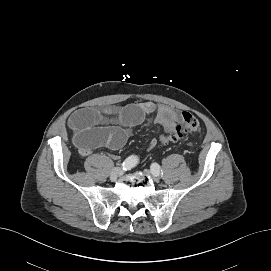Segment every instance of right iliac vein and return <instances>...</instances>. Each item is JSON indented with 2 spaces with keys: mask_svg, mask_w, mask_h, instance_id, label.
<instances>
[{
  "mask_svg": "<svg viewBox=\"0 0 271 271\" xmlns=\"http://www.w3.org/2000/svg\"><path fill=\"white\" fill-rule=\"evenodd\" d=\"M122 169L119 167H115L110 174V179L112 181L116 180L121 174H122Z\"/></svg>",
  "mask_w": 271,
  "mask_h": 271,
  "instance_id": "right-iliac-vein-1",
  "label": "right iliac vein"
}]
</instances>
